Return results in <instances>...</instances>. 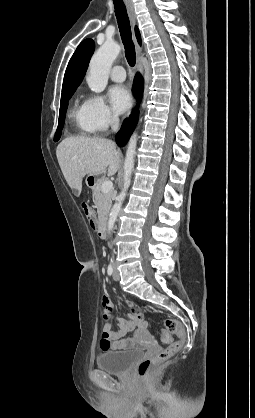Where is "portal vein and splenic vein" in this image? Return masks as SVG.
<instances>
[{
	"instance_id": "18ae733b",
	"label": "portal vein and splenic vein",
	"mask_w": 255,
	"mask_h": 418,
	"mask_svg": "<svg viewBox=\"0 0 255 418\" xmlns=\"http://www.w3.org/2000/svg\"><path fill=\"white\" fill-rule=\"evenodd\" d=\"M113 189V183L109 180H106L103 184H102V191L107 193L110 192Z\"/></svg>"
}]
</instances>
